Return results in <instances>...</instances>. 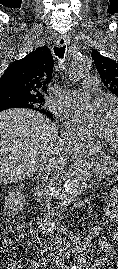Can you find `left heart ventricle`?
Here are the masks:
<instances>
[{
    "instance_id": "b2bd125f",
    "label": "left heart ventricle",
    "mask_w": 118,
    "mask_h": 269,
    "mask_svg": "<svg viewBox=\"0 0 118 269\" xmlns=\"http://www.w3.org/2000/svg\"><path fill=\"white\" fill-rule=\"evenodd\" d=\"M100 137L104 141L118 143V112H110L107 115Z\"/></svg>"
}]
</instances>
